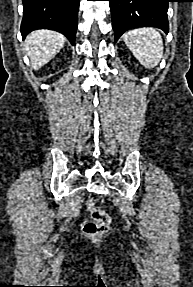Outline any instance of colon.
Masks as SVG:
<instances>
[{
	"label": "colon",
	"mask_w": 193,
	"mask_h": 287,
	"mask_svg": "<svg viewBox=\"0 0 193 287\" xmlns=\"http://www.w3.org/2000/svg\"><path fill=\"white\" fill-rule=\"evenodd\" d=\"M87 209L91 212V217L83 224V232L91 237L101 236L110 225V215L106 211L97 208L92 200L87 202Z\"/></svg>",
	"instance_id": "obj_1"
}]
</instances>
